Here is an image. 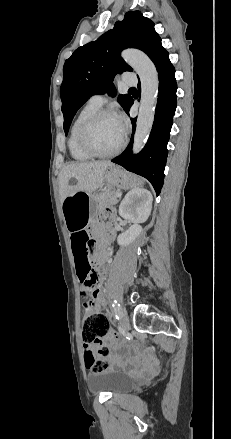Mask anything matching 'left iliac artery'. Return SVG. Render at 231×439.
<instances>
[{"instance_id":"1","label":"left iliac artery","mask_w":231,"mask_h":439,"mask_svg":"<svg viewBox=\"0 0 231 439\" xmlns=\"http://www.w3.org/2000/svg\"><path fill=\"white\" fill-rule=\"evenodd\" d=\"M112 307L115 310V313H116L115 317H116V319L119 320V318H120V314H119L120 304L116 300H112Z\"/></svg>"}]
</instances>
